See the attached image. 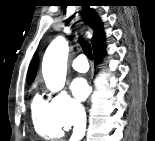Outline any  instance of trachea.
Here are the masks:
<instances>
[{
  "instance_id": "3493384b",
  "label": "trachea",
  "mask_w": 155,
  "mask_h": 141,
  "mask_svg": "<svg viewBox=\"0 0 155 141\" xmlns=\"http://www.w3.org/2000/svg\"><path fill=\"white\" fill-rule=\"evenodd\" d=\"M80 42L82 44V48H83L84 54L89 59H92L93 58V55H92L91 45L89 43H86L83 39H81Z\"/></svg>"
}]
</instances>
